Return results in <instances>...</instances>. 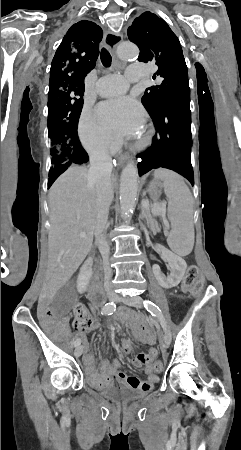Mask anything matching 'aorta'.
I'll return each mask as SVG.
<instances>
[{
	"label": "aorta",
	"mask_w": 241,
	"mask_h": 450,
	"mask_svg": "<svg viewBox=\"0 0 241 450\" xmlns=\"http://www.w3.org/2000/svg\"><path fill=\"white\" fill-rule=\"evenodd\" d=\"M118 57L128 60L139 55V49L132 43H122L117 48ZM138 169L134 163H128L122 170L120 177V206L121 217L127 221L131 218L137 199Z\"/></svg>",
	"instance_id": "762f6f07"
}]
</instances>
